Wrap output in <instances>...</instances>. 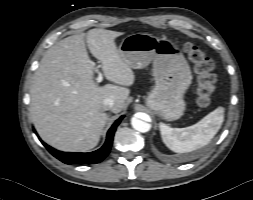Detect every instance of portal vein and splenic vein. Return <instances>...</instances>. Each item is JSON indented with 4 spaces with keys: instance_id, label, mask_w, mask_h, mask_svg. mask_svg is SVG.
I'll list each match as a JSON object with an SVG mask.
<instances>
[{
    "instance_id": "1",
    "label": "portal vein and splenic vein",
    "mask_w": 253,
    "mask_h": 200,
    "mask_svg": "<svg viewBox=\"0 0 253 200\" xmlns=\"http://www.w3.org/2000/svg\"><path fill=\"white\" fill-rule=\"evenodd\" d=\"M98 72V77H97V83H100L102 80H103V75L100 71H97Z\"/></svg>"
}]
</instances>
